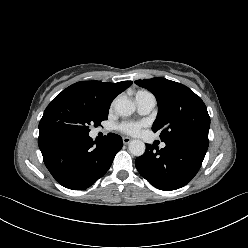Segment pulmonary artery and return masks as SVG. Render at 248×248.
Instances as JSON below:
<instances>
[{
	"mask_svg": "<svg viewBox=\"0 0 248 248\" xmlns=\"http://www.w3.org/2000/svg\"><path fill=\"white\" fill-rule=\"evenodd\" d=\"M135 101L141 114H148L156 104L155 97L149 92L136 95ZM161 147H165V144H161Z\"/></svg>",
	"mask_w": 248,
	"mask_h": 248,
	"instance_id": "obj_1",
	"label": "pulmonary artery"
}]
</instances>
